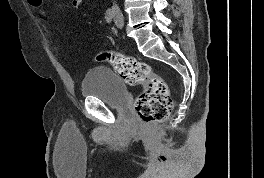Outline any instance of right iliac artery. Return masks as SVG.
I'll use <instances>...</instances> for the list:
<instances>
[{
    "label": "right iliac artery",
    "instance_id": "obj_1",
    "mask_svg": "<svg viewBox=\"0 0 264 178\" xmlns=\"http://www.w3.org/2000/svg\"><path fill=\"white\" fill-rule=\"evenodd\" d=\"M113 16H114V13L113 11L111 10H108L106 13H105V19L107 21V23H111L112 19H113Z\"/></svg>",
    "mask_w": 264,
    "mask_h": 178
}]
</instances>
